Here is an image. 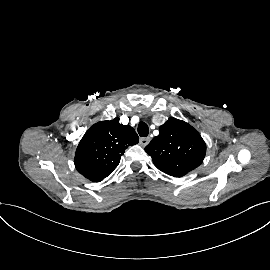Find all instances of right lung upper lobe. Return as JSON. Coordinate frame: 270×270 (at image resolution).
Here are the masks:
<instances>
[{"instance_id":"obj_1","label":"right lung upper lobe","mask_w":270,"mask_h":270,"mask_svg":"<svg viewBox=\"0 0 270 270\" xmlns=\"http://www.w3.org/2000/svg\"><path fill=\"white\" fill-rule=\"evenodd\" d=\"M139 142L138 135L119 118L94 124L81 139L74 158L80 174L100 182L118 166L125 149Z\"/></svg>"}]
</instances>
